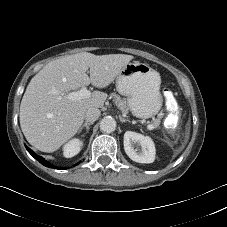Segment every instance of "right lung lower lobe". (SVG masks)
<instances>
[{"label": "right lung lower lobe", "mask_w": 227, "mask_h": 227, "mask_svg": "<svg viewBox=\"0 0 227 227\" xmlns=\"http://www.w3.org/2000/svg\"><path fill=\"white\" fill-rule=\"evenodd\" d=\"M27 151L35 158L37 159L41 164H43L46 167H54L53 165H51L48 161H46L43 157L38 156L37 154H35L30 148H28L26 146ZM56 168V167H54Z\"/></svg>", "instance_id": "1"}]
</instances>
